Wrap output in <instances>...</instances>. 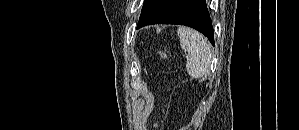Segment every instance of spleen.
I'll return each instance as SVG.
<instances>
[{
    "mask_svg": "<svg viewBox=\"0 0 299 130\" xmlns=\"http://www.w3.org/2000/svg\"><path fill=\"white\" fill-rule=\"evenodd\" d=\"M177 34L181 48L188 53L186 56L188 74L194 79L206 78L212 59L210 43L201 33L188 27H179Z\"/></svg>",
    "mask_w": 299,
    "mask_h": 130,
    "instance_id": "obj_1",
    "label": "spleen"
}]
</instances>
